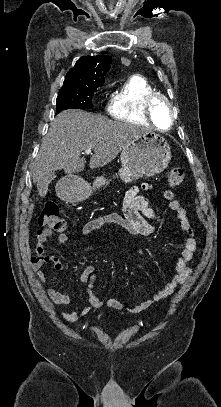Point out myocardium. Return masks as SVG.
<instances>
[{
    "mask_svg": "<svg viewBox=\"0 0 221 407\" xmlns=\"http://www.w3.org/2000/svg\"><path fill=\"white\" fill-rule=\"evenodd\" d=\"M159 102H163L165 103L169 110H170V123L169 126L166 130H169L175 121V113H174V108H173V104L170 101V99L165 96L164 94L161 93H154L152 95H150L149 97H147L145 103H144V111L146 113V116L149 120V122L159 131H166V130H161L157 127L156 123H155V119H154V106L159 103Z\"/></svg>",
    "mask_w": 221,
    "mask_h": 407,
    "instance_id": "myocardium-1",
    "label": "myocardium"
}]
</instances>
